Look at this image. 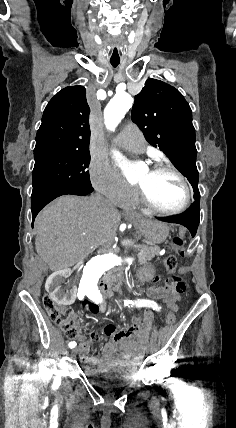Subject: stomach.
<instances>
[{"label":"stomach","mask_w":236,"mask_h":428,"mask_svg":"<svg viewBox=\"0 0 236 428\" xmlns=\"http://www.w3.org/2000/svg\"><path fill=\"white\" fill-rule=\"evenodd\" d=\"M142 234L147 242L162 244L169 236V228L164 222L148 220L142 226ZM155 267L154 262L142 263L140 271L136 272L137 281L143 282V284L150 283L152 279L150 273L155 270Z\"/></svg>","instance_id":"1"}]
</instances>
